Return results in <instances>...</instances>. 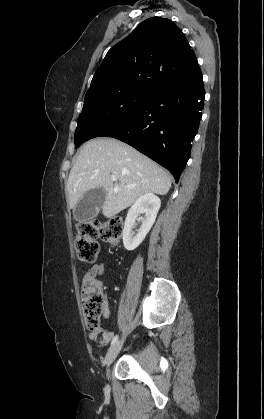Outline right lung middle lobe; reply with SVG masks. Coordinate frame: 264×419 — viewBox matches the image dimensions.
<instances>
[{
  "label": "right lung middle lobe",
  "instance_id": "obj_1",
  "mask_svg": "<svg viewBox=\"0 0 264 419\" xmlns=\"http://www.w3.org/2000/svg\"><path fill=\"white\" fill-rule=\"evenodd\" d=\"M152 93L143 88L126 87L87 94L75 131V147L127 119Z\"/></svg>",
  "mask_w": 264,
  "mask_h": 419
}]
</instances>
